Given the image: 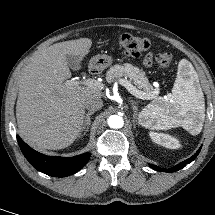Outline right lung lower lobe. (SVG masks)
I'll return each mask as SVG.
<instances>
[{
    "mask_svg": "<svg viewBox=\"0 0 215 215\" xmlns=\"http://www.w3.org/2000/svg\"><path fill=\"white\" fill-rule=\"evenodd\" d=\"M17 141L22 153L34 168L54 177H66L78 172L91 156L89 152L74 157L47 156L30 148L19 136Z\"/></svg>",
    "mask_w": 215,
    "mask_h": 215,
    "instance_id": "obj_1",
    "label": "right lung lower lobe"
}]
</instances>
